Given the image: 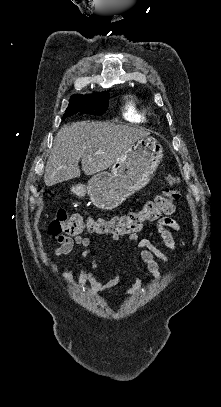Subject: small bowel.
Masks as SVG:
<instances>
[{"mask_svg":"<svg viewBox=\"0 0 221 407\" xmlns=\"http://www.w3.org/2000/svg\"><path fill=\"white\" fill-rule=\"evenodd\" d=\"M154 228L160 237L163 245L171 252H176L178 246H184V240L178 243L175 241L170 229L174 231H181L180 223L174 218L167 216L155 222ZM111 240L117 241L119 237L111 236ZM128 239L136 244L139 252L140 260L146 266L147 271L151 275L152 284H157L162 277V267L167 270L169 260L167 256L157 249L154 244L147 240L141 239L138 234H130ZM58 246L53 250L54 257L67 256L71 254H79L83 260H90L89 264L85 262L82 264L77 277H73L70 273L65 280V284L73 289H78L85 284H89L91 294L97 295L102 291L115 288L119 283V276L113 273V277L105 282H101L98 277V263L93 251V243L87 237L77 236L74 238L67 236H57L55 238ZM50 270L53 274H57L58 268L54 262L49 264ZM141 286V279L138 278L134 285L124 291L125 295L134 293Z\"/></svg>","mask_w":221,"mask_h":407,"instance_id":"obj_1","label":"small bowel"}]
</instances>
